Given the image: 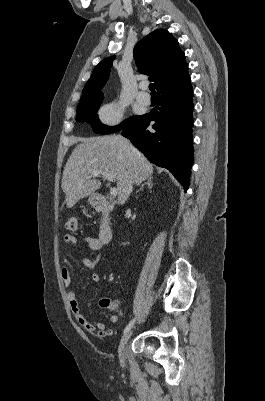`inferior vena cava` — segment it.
<instances>
[{
	"mask_svg": "<svg viewBox=\"0 0 265 401\" xmlns=\"http://www.w3.org/2000/svg\"><path fill=\"white\" fill-rule=\"evenodd\" d=\"M132 188H133V184H129V186H127V188H126V194H130V192H132Z\"/></svg>",
	"mask_w": 265,
	"mask_h": 401,
	"instance_id": "inferior-vena-cava-1",
	"label": "inferior vena cava"
}]
</instances>
